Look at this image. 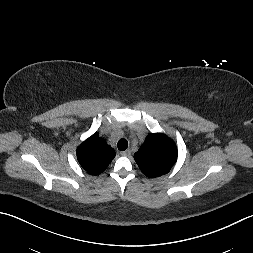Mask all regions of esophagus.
Segmentation results:
<instances>
[{
	"instance_id": "obj_1",
	"label": "esophagus",
	"mask_w": 253,
	"mask_h": 253,
	"mask_svg": "<svg viewBox=\"0 0 253 253\" xmlns=\"http://www.w3.org/2000/svg\"><path fill=\"white\" fill-rule=\"evenodd\" d=\"M120 154L122 156H129L131 154V152H130V150H125V151L120 152Z\"/></svg>"
}]
</instances>
